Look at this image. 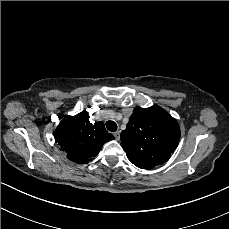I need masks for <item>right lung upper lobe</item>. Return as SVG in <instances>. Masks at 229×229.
<instances>
[{
  "label": "right lung upper lobe",
  "instance_id": "right-lung-upper-lobe-1",
  "mask_svg": "<svg viewBox=\"0 0 229 229\" xmlns=\"http://www.w3.org/2000/svg\"><path fill=\"white\" fill-rule=\"evenodd\" d=\"M54 136L67 157L82 164L96 156L104 143L114 139L106 131L103 122L92 124L85 110L75 116L65 117L56 128Z\"/></svg>",
  "mask_w": 229,
  "mask_h": 229
}]
</instances>
